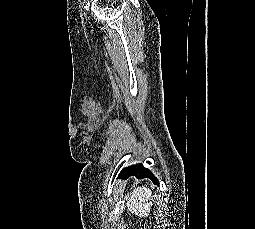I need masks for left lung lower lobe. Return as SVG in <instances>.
I'll list each match as a JSON object with an SVG mask.
<instances>
[{"label":"left lung lower lobe","mask_w":255,"mask_h":229,"mask_svg":"<svg viewBox=\"0 0 255 229\" xmlns=\"http://www.w3.org/2000/svg\"><path fill=\"white\" fill-rule=\"evenodd\" d=\"M129 176H135L138 179L140 178H150L156 185H159L158 180L154 177L152 172L145 168L142 164H137L131 166L127 169H124L120 172V178H128Z\"/></svg>","instance_id":"0a47b994"}]
</instances>
